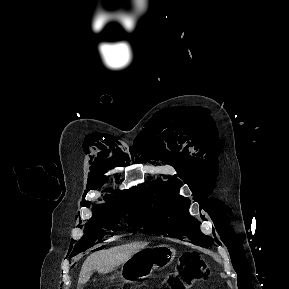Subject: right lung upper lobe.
I'll list each match as a JSON object with an SVG mask.
<instances>
[{"mask_svg": "<svg viewBox=\"0 0 289 289\" xmlns=\"http://www.w3.org/2000/svg\"><path fill=\"white\" fill-rule=\"evenodd\" d=\"M106 201L105 204L98 205V206H106V205H117L120 203H135L136 202V196L135 192L133 190H126L121 191L117 190L115 195H106L104 198Z\"/></svg>", "mask_w": 289, "mask_h": 289, "instance_id": "obj_1", "label": "right lung upper lobe"}]
</instances>
